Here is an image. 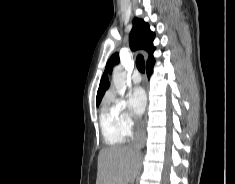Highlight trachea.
Listing matches in <instances>:
<instances>
[{"label": "trachea", "instance_id": "3493384b", "mask_svg": "<svg viewBox=\"0 0 235 184\" xmlns=\"http://www.w3.org/2000/svg\"><path fill=\"white\" fill-rule=\"evenodd\" d=\"M136 65H137L138 70L140 72L144 73V71H145V62H144V58L142 57V55L137 56Z\"/></svg>", "mask_w": 235, "mask_h": 184}]
</instances>
